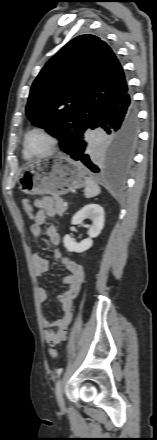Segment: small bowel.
I'll return each instance as SVG.
<instances>
[{"instance_id":"1","label":"small bowel","mask_w":157,"mask_h":440,"mask_svg":"<svg viewBox=\"0 0 157 440\" xmlns=\"http://www.w3.org/2000/svg\"><path fill=\"white\" fill-rule=\"evenodd\" d=\"M55 215V204L52 198L44 197L34 200L33 211L29 215L32 221V224L30 225V233L32 236L40 237L42 235V225L46 218H53ZM46 235L50 244L53 246V257L58 260L60 265L67 271V275L63 278V284L67 289L58 296V300L62 306L63 316L55 322H51L47 317L42 318L44 338L49 345L56 346L64 341L67 336L73 317V302L79 294L81 285L84 282L85 274L82 265L61 253L58 248V245L60 244V235L55 225H49L47 227ZM32 262L35 273L39 278H41L49 269V261L40 253L33 255ZM37 296L40 303H45L48 298L46 289L44 287H39L37 290ZM54 328L56 330H54Z\"/></svg>"}]
</instances>
